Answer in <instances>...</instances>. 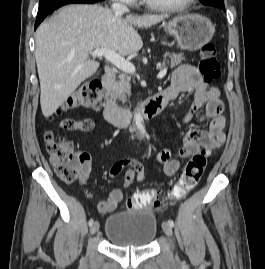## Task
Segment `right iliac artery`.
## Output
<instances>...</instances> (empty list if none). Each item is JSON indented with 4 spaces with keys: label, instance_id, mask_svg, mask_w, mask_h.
Returning <instances> with one entry per match:
<instances>
[{
    "label": "right iliac artery",
    "instance_id": "right-iliac-artery-1",
    "mask_svg": "<svg viewBox=\"0 0 265 269\" xmlns=\"http://www.w3.org/2000/svg\"><path fill=\"white\" fill-rule=\"evenodd\" d=\"M89 226H91L93 224V220L90 219L89 222H88Z\"/></svg>",
    "mask_w": 265,
    "mask_h": 269
}]
</instances>
